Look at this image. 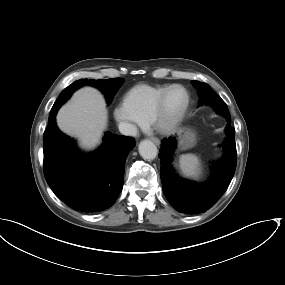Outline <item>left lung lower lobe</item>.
Wrapping results in <instances>:
<instances>
[{
	"label": "left lung lower lobe",
	"mask_w": 285,
	"mask_h": 285,
	"mask_svg": "<svg viewBox=\"0 0 285 285\" xmlns=\"http://www.w3.org/2000/svg\"><path fill=\"white\" fill-rule=\"evenodd\" d=\"M221 103V99H214L210 105L218 111L222 106ZM227 119L228 125L225 129L227 139L222 144L225 154L221 160L214 163L213 175L203 185L182 179L174 172L171 161L176 148V139L169 137L162 140L159 153L162 188L167 200L178 212L185 214L206 212L222 196L232 180L237 153L235 129L230 125L231 117Z\"/></svg>",
	"instance_id": "0a47b994"
}]
</instances>
